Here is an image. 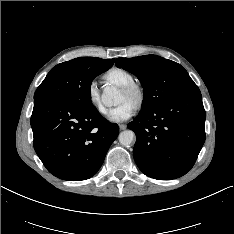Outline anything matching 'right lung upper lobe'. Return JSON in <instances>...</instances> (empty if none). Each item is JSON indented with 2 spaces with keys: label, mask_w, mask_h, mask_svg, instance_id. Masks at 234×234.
Here are the masks:
<instances>
[{
  "label": "right lung upper lobe",
  "mask_w": 234,
  "mask_h": 234,
  "mask_svg": "<svg viewBox=\"0 0 234 234\" xmlns=\"http://www.w3.org/2000/svg\"><path fill=\"white\" fill-rule=\"evenodd\" d=\"M79 60L89 67H107L111 68L115 59L105 60L93 57H80Z\"/></svg>",
  "instance_id": "right-lung-upper-lobe-1"
}]
</instances>
